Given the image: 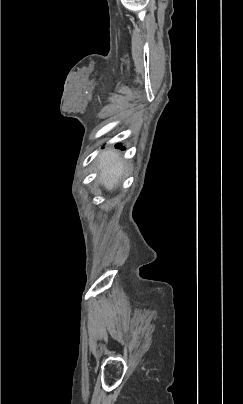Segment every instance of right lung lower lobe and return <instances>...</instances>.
Listing matches in <instances>:
<instances>
[{"mask_svg":"<svg viewBox=\"0 0 243 404\" xmlns=\"http://www.w3.org/2000/svg\"><path fill=\"white\" fill-rule=\"evenodd\" d=\"M116 148H120L121 150H124L125 148L123 146H120V144L116 145Z\"/></svg>","mask_w":243,"mask_h":404,"instance_id":"98d812e1","label":"right lung lower lobe"}]
</instances>
